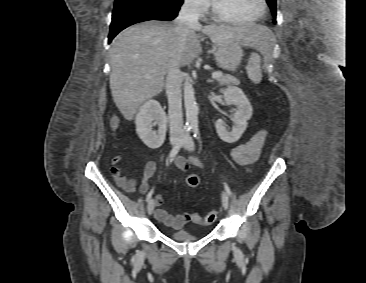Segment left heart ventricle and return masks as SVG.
Segmentation results:
<instances>
[{"label":"left heart ventricle","mask_w":366,"mask_h":283,"mask_svg":"<svg viewBox=\"0 0 366 283\" xmlns=\"http://www.w3.org/2000/svg\"><path fill=\"white\" fill-rule=\"evenodd\" d=\"M215 3L224 14L241 20L257 16L261 9L259 0H215Z\"/></svg>","instance_id":"left-heart-ventricle-1"}]
</instances>
